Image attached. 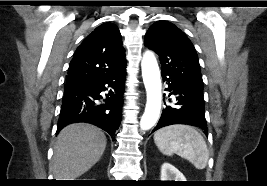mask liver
<instances>
[{"instance_id":"liver-1","label":"liver","mask_w":267,"mask_h":186,"mask_svg":"<svg viewBox=\"0 0 267 186\" xmlns=\"http://www.w3.org/2000/svg\"><path fill=\"white\" fill-rule=\"evenodd\" d=\"M106 137L86 123L66 126L57 136L51 171L56 180H74L95 165L106 147Z\"/></svg>"}]
</instances>
